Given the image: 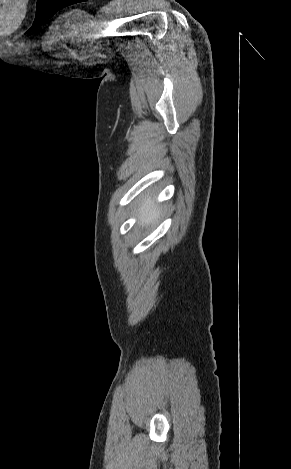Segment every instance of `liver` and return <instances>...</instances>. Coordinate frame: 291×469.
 <instances>
[{"mask_svg": "<svg viewBox=\"0 0 291 469\" xmlns=\"http://www.w3.org/2000/svg\"><path fill=\"white\" fill-rule=\"evenodd\" d=\"M137 213L139 214L138 224L149 226L155 224L160 217L161 208L153 204V199L147 197L138 208Z\"/></svg>", "mask_w": 291, "mask_h": 469, "instance_id": "obj_1", "label": "liver"}]
</instances>
